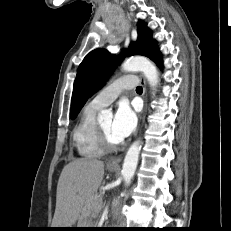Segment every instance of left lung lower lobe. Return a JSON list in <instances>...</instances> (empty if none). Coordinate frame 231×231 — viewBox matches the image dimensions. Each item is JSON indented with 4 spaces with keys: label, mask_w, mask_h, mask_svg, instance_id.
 <instances>
[{
    "label": "left lung lower lobe",
    "mask_w": 231,
    "mask_h": 231,
    "mask_svg": "<svg viewBox=\"0 0 231 231\" xmlns=\"http://www.w3.org/2000/svg\"><path fill=\"white\" fill-rule=\"evenodd\" d=\"M151 60H153L156 64H157V66L158 67H162V58H161V53H160V51H157L154 55H153V57H151Z\"/></svg>",
    "instance_id": "0a47b994"
}]
</instances>
